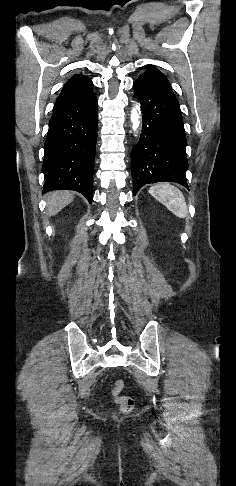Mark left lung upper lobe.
I'll use <instances>...</instances> for the list:
<instances>
[{"mask_svg": "<svg viewBox=\"0 0 236 486\" xmlns=\"http://www.w3.org/2000/svg\"><path fill=\"white\" fill-rule=\"evenodd\" d=\"M140 77H143V78H145L147 80H150V81H152V82H154V83H156V84L164 87L165 89H167L169 91H172V87H171L168 79L166 78V76L163 73H161L153 65H147V70Z\"/></svg>", "mask_w": 236, "mask_h": 486, "instance_id": "left-lung-upper-lobe-1", "label": "left lung upper lobe"}]
</instances>
